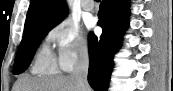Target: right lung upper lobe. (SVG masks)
<instances>
[{"label": "right lung upper lobe", "instance_id": "1", "mask_svg": "<svg viewBox=\"0 0 173 91\" xmlns=\"http://www.w3.org/2000/svg\"><path fill=\"white\" fill-rule=\"evenodd\" d=\"M67 15L64 0H31L27 12L24 32L42 25L53 26Z\"/></svg>", "mask_w": 173, "mask_h": 91}]
</instances>
